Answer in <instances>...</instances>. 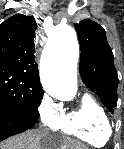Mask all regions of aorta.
<instances>
[{
	"label": "aorta",
	"instance_id": "762f6f07",
	"mask_svg": "<svg viewBox=\"0 0 124 149\" xmlns=\"http://www.w3.org/2000/svg\"><path fill=\"white\" fill-rule=\"evenodd\" d=\"M78 57L79 46L74 28L68 24L58 25L54 40L43 53L40 67L41 83L49 95L62 101L75 97Z\"/></svg>",
	"mask_w": 124,
	"mask_h": 149
}]
</instances>
